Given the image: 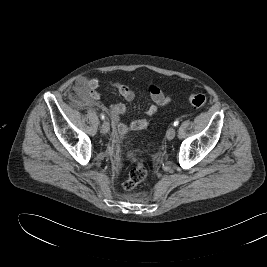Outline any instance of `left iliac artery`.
<instances>
[{"label": "left iliac artery", "instance_id": "44dca946", "mask_svg": "<svg viewBox=\"0 0 267 267\" xmlns=\"http://www.w3.org/2000/svg\"><path fill=\"white\" fill-rule=\"evenodd\" d=\"M178 125H179V121L176 120V121L174 122V126L176 127V126H178Z\"/></svg>", "mask_w": 267, "mask_h": 267}]
</instances>
